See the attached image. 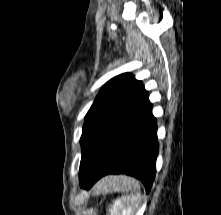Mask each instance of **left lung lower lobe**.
I'll use <instances>...</instances> for the list:
<instances>
[{"label":"left lung lower lobe","instance_id":"1","mask_svg":"<svg viewBox=\"0 0 221 215\" xmlns=\"http://www.w3.org/2000/svg\"><path fill=\"white\" fill-rule=\"evenodd\" d=\"M157 123L148 92L113 122L80 186L89 189L107 174H126L142 181L148 193L156 173Z\"/></svg>","mask_w":221,"mask_h":215}]
</instances>
